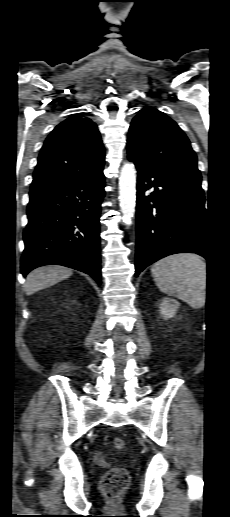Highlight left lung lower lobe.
Wrapping results in <instances>:
<instances>
[{"label": "left lung lower lobe", "mask_w": 230, "mask_h": 517, "mask_svg": "<svg viewBox=\"0 0 230 517\" xmlns=\"http://www.w3.org/2000/svg\"><path fill=\"white\" fill-rule=\"evenodd\" d=\"M128 159L138 171L135 276L171 254L197 253L209 260L201 179L165 172L131 156Z\"/></svg>", "instance_id": "obj_1"}]
</instances>
